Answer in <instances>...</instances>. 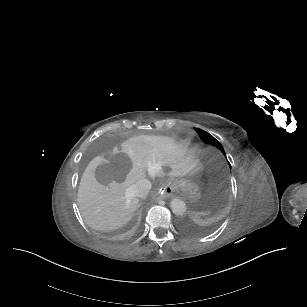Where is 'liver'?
<instances>
[{"label":"liver","instance_id":"6515ba94","mask_svg":"<svg viewBox=\"0 0 307 307\" xmlns=\"http://www.w3.org/2000/svg\"><path fill=\"white\" fill-rule=\"evenodd\" d=\"M198 162L168 136L138 135L103 151L81 177L77 201L84 222L97 230L123 226L138 207L133 186L146 172L163 177V167H170L168 176H185Z\"/></svg>","mask_w":307,"mask_h":307}]
</instances>
